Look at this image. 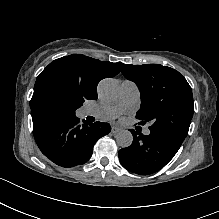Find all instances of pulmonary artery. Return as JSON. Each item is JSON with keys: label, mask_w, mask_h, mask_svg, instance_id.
<instances>
[{"label": "pulmonary artery", "mask_w": 219, "mask_h": 219, "mask_svg": "<svg viewBox=\"0 0 219 219\" xmlns=\"http://www.w3.org/2000/svg\"><path fill=\"white\" fill-rule=\"evenodd\" d=\"M138 85L131 80H124L121 83V91L118 103L114 106H105L99 108H83L81 115L83 117L92 116L101 122H107L117 118L124 109L135 104L139 99ZM150 133L149 128L144 130V134Z\"/></svg>", "instance_id": "e3ab8cb5"}]
</instances>
